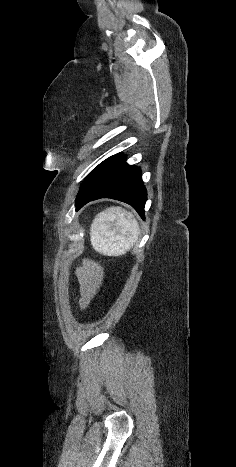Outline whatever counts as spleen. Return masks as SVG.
Wrapping results in <instances>:
<instances>
[{"instance_id":"obj_1","label":"spleen","mask_w":236,"mask_h":467,"mask_svg":"<svg viewBox=\"0 0 236 467\" xmlns=\"http://www.w3.org/2000/svg\"><path fill=\"white\" fill-rule=\"evenodd\" d=\"M139 234V224L130 212L121 207H110L93 220L90 241L100 254L121 256L133 247Z\"/></svg>"}]
</instances>
